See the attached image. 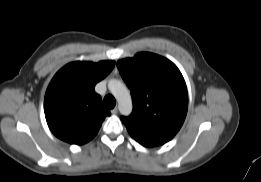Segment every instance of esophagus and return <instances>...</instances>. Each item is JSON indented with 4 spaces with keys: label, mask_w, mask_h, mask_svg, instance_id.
Instances as JSON below:
<instances>
[{
    "label": "esophagus",
    "mask_w": 261,
    "mask_h": 182,
    "mask_svg": "<svg viewBox=\"0 0 261 182\" xmlns=\"http://www.w3.org/2000/svg\"><path fill=\"white\" fill-rule=\"evenodd\" d=\"M111 113H112L113 115L117 114V113H118L117 107L113 108V109L111 110Z\"/></svg>",
    "instance_id": "34e87169"
}]
</instances>
